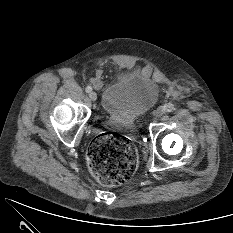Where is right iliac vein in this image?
Wrapping results in <instances>:
<instances>
[{"mask_svg": "<svg viewBox=\"0 0 233 233\" xmlns=\"http://www.w3.org/2000/svg\"><path fill=\"white\" fill-rule=\"evenodd\" d=\"M89 98L92 100V101H95L97 99V94L95 92H90L89 93Z\"/></svg>", "mask_w": 233, "mask_h": 233, "instance_id": "63e3f726", "label": "right iliac vein"}]
</instances>
